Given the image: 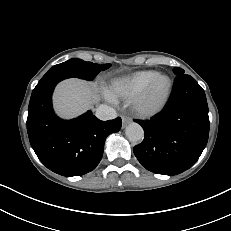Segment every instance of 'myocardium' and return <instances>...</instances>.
<instances>
[{"label":"myocardium","mask_w":231,"mask_h":231,"mask_svg":"<svg viewBox=\"0 0 231 231\" xmlns=\"http://www.w3.org/2000/svg\"><path fill=\"white\" fill-rule=\"evenodd\" d=\"M160 79L165 80V86L157 92L156 86ZM173 89L171 78L163 73H158L153 80L136 95L133 101L134 111L141 117H152L160 113L167 105Z\"/></svg>","instance_id":"obj_1"}]
</instances>
